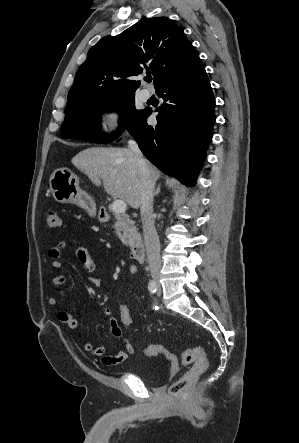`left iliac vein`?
Here are the masks:
<instances>
[{
    "mask_svg": "<svg viewBox=\"0 0 299 443\" xmlns=\"http://www.w3.org/2000/svg\"><path fill=\"white\" fill-rule=\"evenodd\" d=\"M157 294H158L159 296L161 295V288H160V286H158Z\"/></svg>",
    "mask_w": 299,
    "mask_h": 443,
    "instance_id": "4c4485c4",
    "label": "left iliac vein"
}]
</instances>
